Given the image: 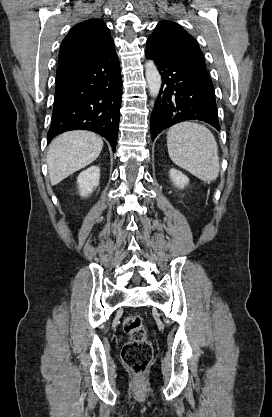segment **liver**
Returning a JSON list of instances; mask_svg holds the SVG:
<instances>
[{"instance_id": "obj_1", "label": "liver", "mask_w": 272, "mask_h": 417, "mask_svg": "<svg viewBox=\"0 0 272 417\" xmlns=\"http://www.w3.org/2000/svg\"><path fill=\"white\" fill-rule=\"evenodd\" d=\"M102 139L89 131H70L56 137L49 145L47 165L52 185L88 166L100 155Z\"/></svg>"}]
</instances>
